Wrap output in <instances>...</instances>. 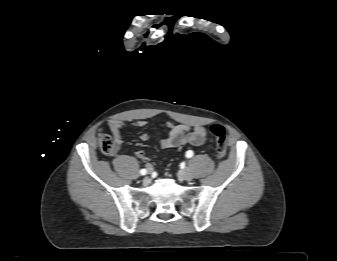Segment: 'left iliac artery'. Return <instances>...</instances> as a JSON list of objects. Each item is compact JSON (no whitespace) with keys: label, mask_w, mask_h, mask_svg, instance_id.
<instances>
[{"label":"left iliac artery","mask_w":337,"mask_h":261,"mask_svg":"<svg viewBox=\"0 0 337 261\" xmlns=\"http://www.w3.org/2000/svg\"><path fill=\"white\" fill-rule=\"evenodd\" d=\"M193 151H191V150H188L187 152H186V157L187 158H191L192 156H193Z\"/></svg>","instance_id":"obj_1"}]
</instances>
